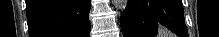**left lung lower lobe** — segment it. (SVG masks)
Returning <instances> with one entry per match:
<instances>
[{"instance_id":"obj_1","label":"left lung lower lobe","mask_w":219,"mask_h":37,"mask_svg":"<svg viewBox=\"0 0 219 37\" xmlns=\"http://www.w3.org/2000/svg\"><path fill=\"white\" fill-rule=\"evenodd\" d=\"M188 37L181 0H129L121 16L124 37H154L158 27Z\"/></svg>"}]
</instances>
